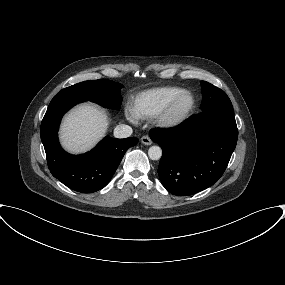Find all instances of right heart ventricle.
Here are the masks:
<instances>
[{
	"instance_id": "1",
	"label": "right heart ventricle",
	"mask_w": 285,
	"mask_h": 285,
	"mask_svg": "<svg viewBox=\"0 0 285 285\" xmlns=\"http://www.w3.org/2000/svg\"><path fill=\"white\" fill-rule=\"evenodd\" d=\"M185 89L177 86H164L142 91L132 99L133 114L142 119L158 115L177 95Z\"/></svg>"
}]
</instances>
